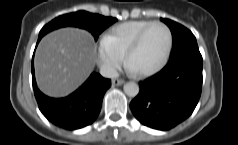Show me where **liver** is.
<instances>
[{
	"label": "liver",
	"mask_w": 238,
	"mask_h": 145,
	"mask_svg": "<svg viewBox=\"0 0 238 145\" xmlns=\"http://www.w3.org/2000/svg\"><path fill=\"white\" fill-rule=\"evenodd\" d=\"M93 37L85 30L62 28L42 38L35 55V74L40 90L64 97L76 90L95 66Z\"/></svg>",
	"instance_id": "6515ba94"
}]
</instances>
